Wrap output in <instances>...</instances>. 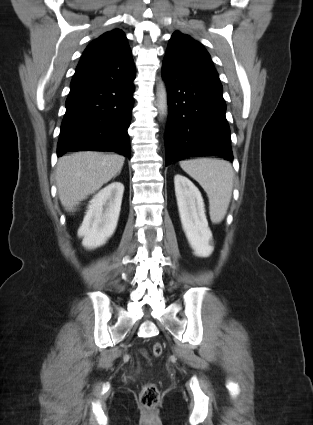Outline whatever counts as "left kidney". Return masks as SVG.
I'll return each mask as SVG.
<instances>
[{
    "mask_svg": "<svg viewBox=\"0 0 313 425\" xmlns=\"http://www.w3.org/2000/svg\"><path fill=\"white\" fill-rule=\"evenodd\" d=\"M174 185L181 224L188 242L196 256L208 257L214 248L210 245L212 233L201 193L188 178L180 174L175 175Z\"/></svg>",
    "mask_w": 313,
    "mask_h": 425,
    "instance_id": "1",
    "label": "left kidney"
}]
</instances>
